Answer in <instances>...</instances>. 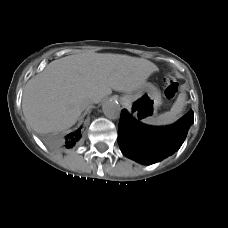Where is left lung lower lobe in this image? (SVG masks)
I'll return each mask as SVG.
<instances>
[{
  "mask_svg": "<svg viewBox=\"0 0 228 228\" xmlns=\"http://www.w3.org/2000/svg\"><path fill=\"white\" fill-rule=\"evenodd\" d=\"M193 122V111H190L174 125L150 127L132 119L127 111L122 110L118 144L128 158L142 164H152L181 147Z\"/></svg>",
  "mask_w": 228,
  "mask_h": 228,
  "instance_id": "0a47b994",
  "label": "left lung lower lobe"
}]
</instances>
